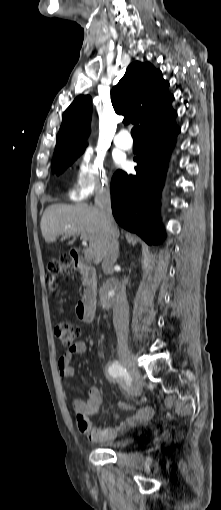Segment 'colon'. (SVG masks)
<instances>
[{
	"instance_id": "1",
	"label": "colon",
	"mask_w": 221,
	"mask_h": 510,
	"mask_svg": "<svg viewBox=\"0 0 221 510\" xmlns=\"http://www.w3.org/2000/svg\"><path fill=\"white\" fill-rule=\"evenodd\" d=\"M72 269V258L68 255H64L58 260L50 262L48 266V270L52 275V281H54L56 276L70 272ZM54 333L63 345L71 346L79 336L80 328L73 322L59 320L54 324ZM79 429L81 431L80 427Z\"/></svg>"
}]
</instances>
